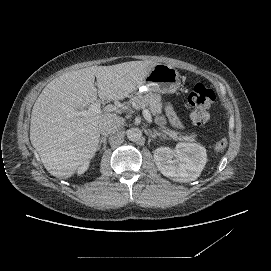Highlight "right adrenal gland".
I'll list each match as a JSON object with an SVG mask.
<instances>
[{
	"mask_svg": "<svg viewBox=\"0 0 271 271\" xmlns=\"http://www.w3.org/2000/svg\"><path fill=\"white\" fill-rule=\"evenodd\" d=\"M107 137H108V135H104V136H102V137L99 138V144H98L97 150H100V148L102 146V143H103L102 150H104V151L106 150Z\"/></svg>",
	"mask_w": 271,
	"mask_h": 271,
	"instance_id": "1",
	"label": "right adrenal gland"
}]
</instances>
